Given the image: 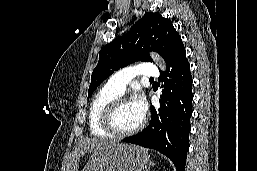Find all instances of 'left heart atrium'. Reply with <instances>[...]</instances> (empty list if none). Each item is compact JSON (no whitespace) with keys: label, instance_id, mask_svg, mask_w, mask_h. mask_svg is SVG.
I'll return each instance as SVG.
<instances>
[{"label":"left heart atrium","instance_id":"left-heart-atrium-1","mask_svg":"<svg viewBox=\"0 0 257 171\" xmlns=\"http://www.w3.org/2000/svg\"><path fill=\"white\" fill-rule=\"evenodd\" d=\"M131 104L137 113L143 118L147 111V102L144 95L139 92L136 93L131 100Z\"/></svg>","mask_w":257,"mask_h":171}]
</instances>
